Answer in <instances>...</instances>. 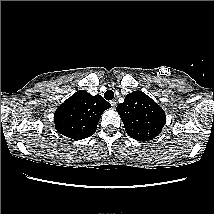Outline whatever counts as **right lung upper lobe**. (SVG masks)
I'll use <instances>...</instances> for the list:
<instances>
[{"label":"right lung upper lobe","instance_id":"1","mask_svg":"<svg viewBox=\"0 0 214 214\" xmlns=\"http://www.w3.org/2000/svg\"><path fill=\"white\" fill-rule=\"evenodd\" d=\"M110 107L101 95L77 91L56 109L55 128L71 139L88 138L96 132L101 114Z\"/></svg>","mask_w":214,"mask_h":214}]
</instances>
